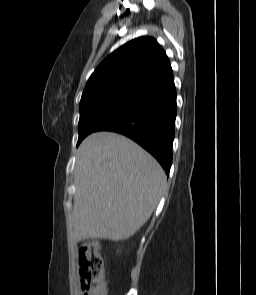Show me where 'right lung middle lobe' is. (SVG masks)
<instances>
[{
    "label": "right lung middle lobe",
    "instance_id": "obj_1",
    "mask_svg": "<svg viewBox=\"0 0 256 295\" xmlns=\"http://www.w3.org/2000/svg\"><path fill=\"white\" fill-rule=\"evenodd\" d=\"M137 93L121 94L88 106H80L78 143L122 111Z\"/></svg>",
    "mask_w": 256,
    "mask_h": 295
}]
</instances>
